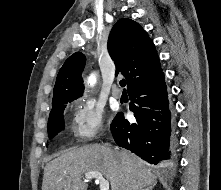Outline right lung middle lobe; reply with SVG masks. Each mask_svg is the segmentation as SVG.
I'll return each mask as SVG.
<instances>
[{
  "label": "right lung middle lobe",
  "mask_w": 221,
  "mask_h": 190,
  "mask_svg": "<svg viewBox=\"0 0 221 190\" xmlns=\"http://www.w3.org/2000/svg\"><path fill=\"white\" fill-rule=\"evenodd\" d=\"M72 101V100H71ZM69 101H60L52 104L49 121L47 125L49 137H54L65 128L63 111Z\"/></svg>",
  "instance_id": "1"
}]
</instances>
